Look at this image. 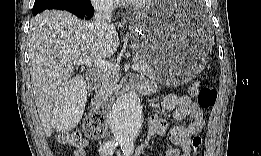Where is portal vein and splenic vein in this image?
<instances>
[{"instance_id": "obj_1", "label": "portal vein and splenic vein", "mask_w": 261, "mask_h": 156, "mask_svg": "<svg viewBox=\"0 0 261 156\" xmlns=\"http://www.w3.org/2000/svg\"><path fill=\"white\" fill-rule=\"evenodd\" d=\"M72 65L79 66V65H87V66H93L99 69H102L104 71L114 72L118 73L120 70V67L118 64L110 63L108 61H104L102 59H91V58H83L79 60H75ZM140 66L137 63H134L132 65V69L134 71L139 70Z\"/></svg>"}]
</instances>
